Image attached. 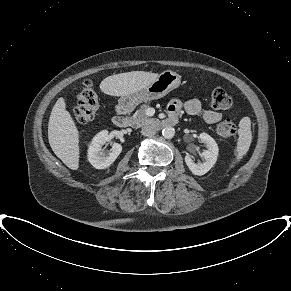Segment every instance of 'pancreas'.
<instances>
[{"label":"pancreas","instance_id":"obj_1","mask_svg":"<svg viewBox=\"0 0 291 291\" xmlns=\"http://www.w3.org/2000/svg\"><path fill=\"white\" fill-rule=\"evenodd\" d=\"M150 103H145L135 112L133 116L129 118L130 125L134 128H139L144 125L151 124L155 121L154 118H149L145 111L149 107Z\"/></svg>","mask_w":291,"mask_h":291}]
</instances>
